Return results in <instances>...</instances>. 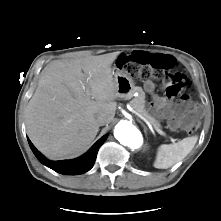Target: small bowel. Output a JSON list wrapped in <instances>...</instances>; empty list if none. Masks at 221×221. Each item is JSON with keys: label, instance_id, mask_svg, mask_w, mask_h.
<instances>
[{"label": "small bowel", "instance_id": "1", "mask_svg": "<svg viewBox=\"0 0 221 221\" xmlns=\"http://www.w3.org/2000/svg\"><path fill=\"white\" fill-rule=\"evenodd\" d=\"M136 52H143V51H135V52H131L127 55L130 58H134L135 57V53ZM149 55H152L153 53H149V52H145ZM146 87L147 89L152 92V104L156 109L161 110V114L162 117L167 119L170 127L173 129L175 128V126L177 125L174 120L178 115V110L179 107H181V104H176L173 101V97L170 96H159L157 94L154 93L153 91V84L151 81H147L146 83ZM196 110H192L191 113H195Z\"/></svg>", "mask_w": 221, "mask_h": 221}]
</instances>
